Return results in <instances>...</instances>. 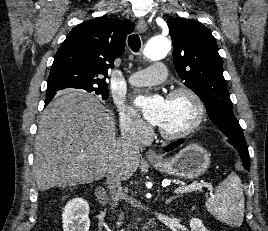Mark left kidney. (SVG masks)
<instances>
[{
    "instance_id": "left-kidney-1",
    "label": "left kidney",
    "mask_w": 268,
    "mask_h": 231,
    "mask_svg": "<svg viewBox=\"0 0 268 231\" xmlns=\"http://www.w3.org/2000/svg\"><path fill=\"white\" fill-rule=\"evenodd\" d=\"M191 231H208L207 228L203 225L202 221L198 218H192L190 220Z\"/></svg>"
}]
</instances>
